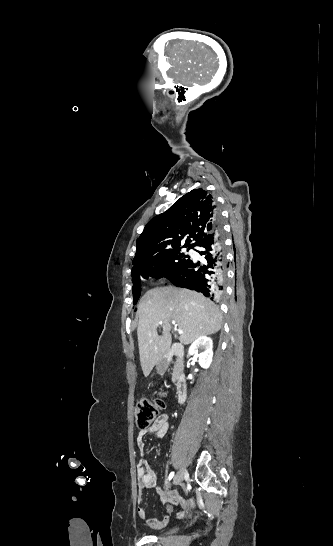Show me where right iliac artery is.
Masks as SVG:
<instances>
[{"label":"right iliac artery","instance_id":"82829eb1","mask_svg":"<svg viewBox=\"0 0 333 546\" xmlns=\"http://www.w3.org/2000/svg\"><path fill=\"white\" fill-rule=\"evenodd\" d=\"M173 477H174V472H171L169 477H168V480L170 481Z\"/></svg>","mask_w":333,"mask_h":546}]
</instances>
